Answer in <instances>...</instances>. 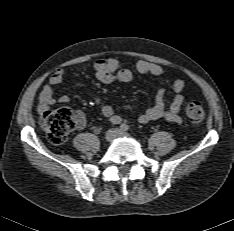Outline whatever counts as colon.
Here are the masks:
<instances>
[{
  "instance_id": "1",
  "label": "colon",
  "mask_w": 234,
  "mask_h": 231,
  "mask_svg": "<svg viewBox=\"0 0 234 231\" xmlns=\"http://www.w3.org/2000/svg\"><path fill=\"white\" fill-rule=\"evenodd\" d=\"M186 115L194 124H199L205 119V111L202 105L195 100L188 102ZM40 123L47 132L49 141L53 144L64 143L68 134L75 127L72 113L66 108L45 111L41 116Z\"/></svg>"
}]
</instances>
